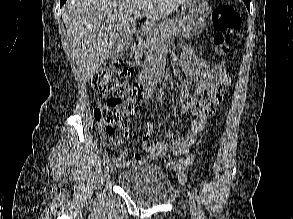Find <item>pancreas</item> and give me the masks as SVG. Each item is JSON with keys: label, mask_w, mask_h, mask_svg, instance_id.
<instances>
[{"label": "pancreas", "mask_w": 293, "mask_h": 219, "mask_svg": "<svg viewBox=\"0 0 293 219\" xmlns=\"http://www.w3.org/2000/svg\"><path fill=\"white\" fill-rule=\"evenodd\" d=\"M174 36L191 37V31L179 15L166 19L150 31L145 44L147 49L145 68L157 69L159 67L161 50L165 46L166 40Z\"/></svg>", "instance_id": "cf45deb5"}]
</instances>
